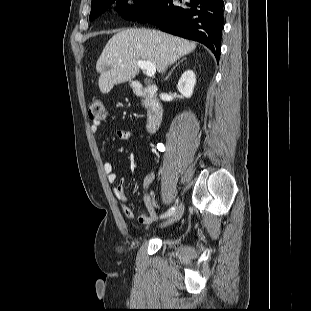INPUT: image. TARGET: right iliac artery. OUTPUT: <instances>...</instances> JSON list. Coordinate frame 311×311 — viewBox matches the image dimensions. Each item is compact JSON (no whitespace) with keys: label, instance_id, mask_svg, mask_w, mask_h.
<instances>
[{"label":"right iliac artery","instance_id":"right-iliac-artery-1","mask_svg":"<svg viewBox=\"0 0 311 311\" xmlns=\"http://www.w3.org/2000/svg\"><path fill=\"white\" fill-rule=\"evenodd\" d=\"M157 148H158V146H157ZM159 150H160V149H159ZM175 210H176L175 206L171 207L167 212H165L164 214H162V215L160 216V218L170 217L171 215L174 214Z\"/></svg>","mask_w":311,"mask_h":311}]
</instances>
